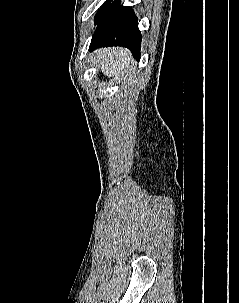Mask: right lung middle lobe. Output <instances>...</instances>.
Segmentation results:
<instances>
[{"label":"right lung middle lobe","mask_w":239,"mask_h":303,"mask_svg":"<svg viewBox=\"0 0 239 303\" xmlns=\"http://www.w3.org/2000/svg\"><path fill=\"white\" fill-rule=\"evenodd\" d=\"M107 4H108V3H107ZM107 4H106V5H107ZM106 5H104V6L101 8V10H103V9L105 8ZM101 10H100V11H101ZM100 11H99V12H100ZM99 12H98V13H99ZM97 15H98V14H97ZM97 15H96V16H97Z\"/></svg>","instance_id":"obj_1"}]
</instances>
